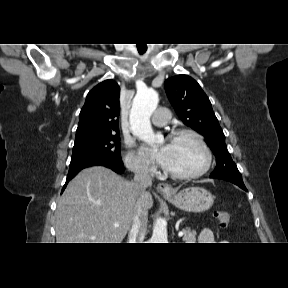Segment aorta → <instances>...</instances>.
<instances>
[{
  "instance_id": "1",
  "label": "aorta",
  "mask_w": 288,
  "mask_h": 288,
  "mask_svg": "<svg viewBox=\"0 0 288 288\" xmlns=\"http://www.w3.org/2000/svg\"><path fill=\"white\" fill-rule=\"evenodd\" d=\"M158 94L152 89L138 91L133 99L130 112V125L133 135L140 140L152 144L158 141L150 123V117L157 108ZM167 226L162 218H158L153 227L152 243H168Z\"/></svg>"
}]
</instances>
